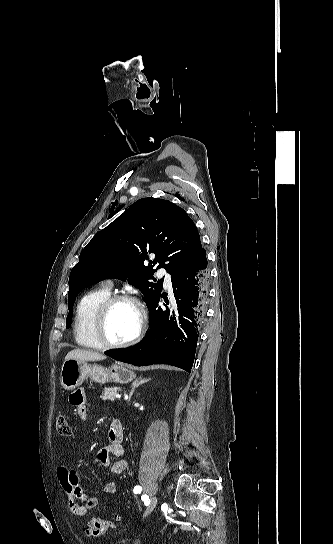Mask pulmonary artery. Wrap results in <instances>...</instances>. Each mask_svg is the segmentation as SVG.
Masks as SVG:
<instances>
[{
	"label": "pulmonary artery",
	"instance_id": "e3ab8cb5",
	"mask_svg": "<svg viewBox=\"0 0 333 544\" xmlns=\"http://www.w3.org/2000/svg\"><path fill=\"white\" fill-rule=\"evenodd\" d=\"M159 274H160L161 276H164V277H165V286H166V287H170V286H171L170 275H169L164 269H161V270L159 271ZM106 286H107L108 288H110L111 285H110V283H108Z\"/></svg>",
	"mask_w": 333,
	"mask_h": 544
}]
</instances>
